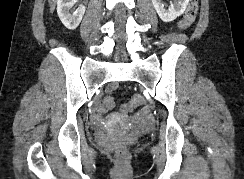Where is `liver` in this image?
Returning a JSON list of instances; mask_svg holds the SVG:
<instances>
[{"label":"liver","mask_w":244,"mask_h":179,"mask_svg":"<svg viewBox=\"0 0 244 179\" xmlns=\"http://www.w3.org/2000/svg\"><path fill=\"white\" fill-rule=\"evenodd\" d=\"M50 6V14H53L56 6V0H48Z\"/></svg>","instance_id":"6515ba94"}]
</instances>
